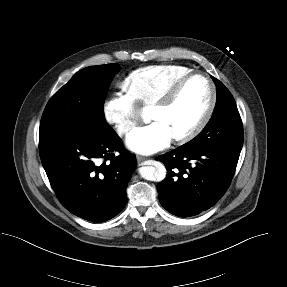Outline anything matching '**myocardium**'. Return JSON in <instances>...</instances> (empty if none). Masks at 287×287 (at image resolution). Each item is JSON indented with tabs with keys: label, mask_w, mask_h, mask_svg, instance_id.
<instances>
[{
	"label": "myocardium",
	"mask_w": 287,
	"mask_h": 287,
	"mask_svg": "<svg viewBox=\"0 0 287 287\" xmlns=\"http://www.w3.org/2000/svg\"><path fill=\"white\" fill-rule=\"evenodd\" d=\"M194 77H201L203 78L210 89V100L209 104L201 117V119L197 122V124L191 128L189 131L182 135H178L173 137L174 141L177 143H186L195 138L198 134L202 132V130L206 127L209 123L215 107L217 103V90L213 80L205 73L201 72H190L181 78H179L166 92L165 94L160 97L153 105V108L163 109L169 107L178 96L179 92L183 88V86L192 78Z\"/></svg>",
	"instance_id": "1"
}]
</instances>
